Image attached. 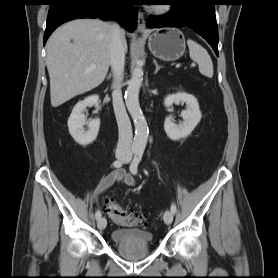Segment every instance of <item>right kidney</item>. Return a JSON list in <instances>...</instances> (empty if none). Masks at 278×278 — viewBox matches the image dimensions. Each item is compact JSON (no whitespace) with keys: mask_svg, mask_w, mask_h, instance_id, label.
<instances>
[{"mask_svg":"<svg viewBox=\"0 0 278 278\" xmlns=\"http://www.w3.org/2000/svg\"><path fill=\"white\" fill-rule=\"evenodd\" d=\"M94 105L96 109H99L100 101L98 95H92L85 98L83 101L78 102L68 119V129L72 138L80 145H88L92 143L99 131L100 120L86 121L83 111L87 106ZM84 125L88 126V130L85 131Z\"/></svg>","mask_w":278,"mask_h":278,"instance_id":"obj_1","label":"right kidney"}]
</instances>
